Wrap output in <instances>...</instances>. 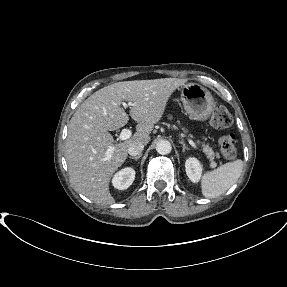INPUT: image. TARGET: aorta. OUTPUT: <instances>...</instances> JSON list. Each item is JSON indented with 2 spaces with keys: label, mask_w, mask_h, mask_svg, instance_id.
Returning a JSON list of instances; mask_svg holds the SVG:
<instances>
[{
  "label": "aorta",
  "mask_w": 287,
  "mask_h": 287,
  "mask_svg": "<svg viewBox=\"0 0 287 287\" xmlns=\"http://www.w3.org/2000/svg\"><path fill=\"white\" fill-rule=\"evenodd\" d=\"M171 150L172 146L168 140H160L156 144V151L161 155H167Z\"/></svg>",
  "instance_id": "762f6f07"
}]
</instances>
